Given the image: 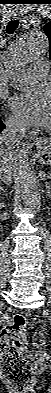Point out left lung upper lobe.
<instances>
[{"label":"left lung upper lobe","mask_w":51,"mask_h":393,"mask_svg":"<svg viewBox=\"0 0 51 393\" xmlns=\"http://www.w3.org/2000/svg\"><path fill=\"white\" fill-rule=\"evenodd\" d=\"M44 32L46 33V35L48 36L49 41H50L49 53H50V59H51V22L47 23L44 26Z\"/></svg>","instance_id":"5c2ea615"}]
</instances>
